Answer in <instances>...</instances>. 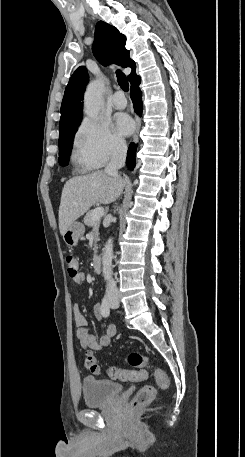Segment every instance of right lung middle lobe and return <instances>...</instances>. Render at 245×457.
Returning a JSON list of instances; mask_svg holds the SVG:
<instances>
[{
  "label": "right lung middle lobe",
  "mask_w": 245,
  "mask_h": 457,
  "mask_svg": "<svg viewBox=\"0 0 245 457\" xmlns=\"http://www.w3.org/2000/svg\"><path fill=\"white\" fill-rule=\"evenodd\" d=\"M81 121L60 127L59 135V164L61 166L68 164V157L72 150V141Z\"/></svg>",
  "instance_id": "dd1d6c3e"
}]
</instances>
